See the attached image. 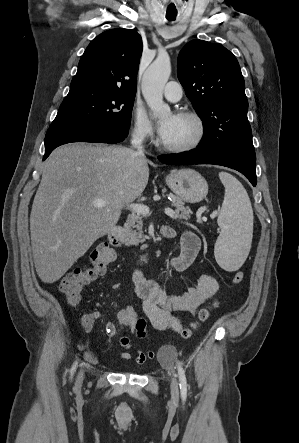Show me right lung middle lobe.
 Wrapping results in <instances>:
<instances>
[{
	"label": "right lung middle lobe",
	"instance_id": "dd1d6c3e",
	"mask_svg": "<svg viewBox=\"0 0 299 443\" xmlns=\"http://www.w3.org/2000/svg\"><path fill=\"white\" fill-rule=\"evenodd\" d=\"M135 95L98 88H74L62 102L51 129L117 125L129 128Z\"/></svg>",
	"mask_w": 299,
	"mask_h": 443
}]
</instances>
